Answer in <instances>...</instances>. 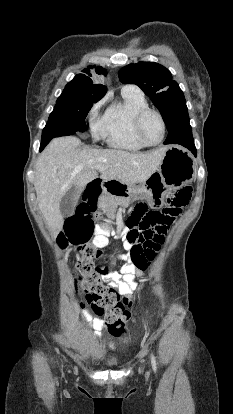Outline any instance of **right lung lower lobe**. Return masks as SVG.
<instances>
[{"label":"right lung lower lobe","instance_id":"1","mask_svg":"<svg viewBox=\"0 0 233 414\" xmlns=\"http://www.w3.org/2000/svg\"><path fill=\"white\" fill-rule=\"evenodd\" d=\"M75 131L67 126L47 123L42 132V140L40 145V151L50 142L51 139L60 136L72 135Z\"/></svg>","mask_w":233,"mask_h":414}]
</instances>
